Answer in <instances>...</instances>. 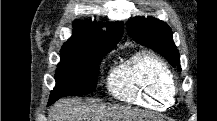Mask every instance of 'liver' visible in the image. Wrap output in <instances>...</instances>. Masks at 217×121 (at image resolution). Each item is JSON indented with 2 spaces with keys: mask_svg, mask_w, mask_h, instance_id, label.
Listing matches in <instances>:
<instances>
[{
  "mask_svg": "<svg viewBox=\"0 0 217 121\" xmlns=\"http://www.w3.org/2000/svg\"><path fill=\"white\" fill-rule=\"evenodd\" d=\"M49 121H132L125 108L106 107L82 99H60L49 111Z\"/></svg>",
  "mask_w": 217,
  "mask_h": 121,
  "instance_id": "6515ba94",
  "label": "liver"
}]
</instances>
